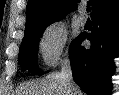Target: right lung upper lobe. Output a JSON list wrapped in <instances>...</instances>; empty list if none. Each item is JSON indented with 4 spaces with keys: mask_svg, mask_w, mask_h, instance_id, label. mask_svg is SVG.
<instances>
[{
    "mask_svg": "<svg viewBox=\"0 0 119 95\" xmlns=\"http://www.w3.org/2000/svg\"><path fill=\"white\" fill-rule=\"evenodd\" d=\"M80 0H29L26 8L25 33L44 24L60 20L69 10H75ZM91 18L119 7V0H90Z\"/></svg>",
    "mask_w": 119,
    "mask_h": 95,
    "instance_id": "obj_1",
    "label": "right lung upper lobe"
}]
</instances>
